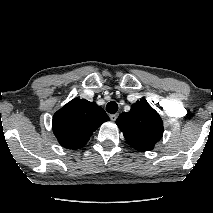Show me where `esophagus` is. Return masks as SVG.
Listing matches in <instances>:
<instances>
[{
  "label": "esophagus",
  "mask_w": 213,
  "mask_h": 213,
  "mask_svg": "<svg viewBox=\"0 0 213 213\" xmlns=\"http://www.w3.org/2000/svg\"><path fill=\"white\" fill-rule=\"evenodd\" d=\"M110 119L112 120V121H115L116 119H117V117H118V114H110Z\"/></svg>",
  "instance_id": "esophagus-1"
}]
</instances>
